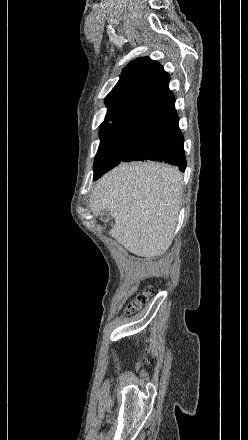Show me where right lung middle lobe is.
I'll list each match as a JSON object with an SVG mask.
<instances>
[{
  "mask_svg": "<svg viewBox=\"0 0 248 440\" xmlns=\"http://www.w3.org/2000/svg\"><path fill=\"white\" fill-rule=\"evenodd\" d=\"M130 133L124 130L101 141L94 161L95 180L121 162Z\"/></svg>",
  "mask_w": 248,
  "mask_h": 440,
  "instance_id": "right-lung-middle-lobe-1",
  "label": "right lung middle lobe"
}]
</instances>
